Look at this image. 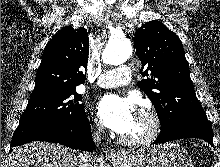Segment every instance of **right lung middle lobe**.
<instances>
[{
	"label": "right lung middle lobe",
	"mask_w": 220,
	"mask_h": 167,
	"mask_svg": "<svg viewBox=\"0 0 220 167\" xmlns=\"http://www.w3.org/2000/svg\"><path fill=\"white\" fill-rule=\"evenodd\" d=\"M82 96L77 94L75 87H70L57 93L30 98V101L20 118L19 125L41 122L45 120L71 121L84 112L79 101Z\"/></svg>",
	"instance_id": "obj_1"
}]
</instances>
